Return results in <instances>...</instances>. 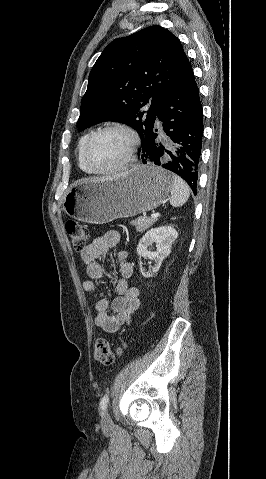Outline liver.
I'll return each mask as SVG.
<instances>
[{
  "instance_id": "liver-1",
  "label": "liver",
  "mask_w": 266,
  "mask_h": 479,
  "mask_svg": "<svg viewBox=\"0 0 266 479\" xmlns=\"http://www.w3.org/2000/svg\"><path fill=\"white\" fill-rule=\"evenodd\" d=\"M124 175V174H122ZM112 177H107V178H100V179H97V180H106V179H111Z\"/></svg>"
}]
</instances>
